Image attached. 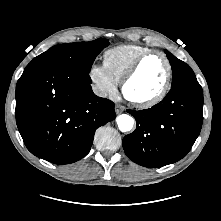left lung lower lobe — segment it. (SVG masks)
Returning a JSON list of instances; mask_svg holds the SVG:
<instances>
[{
	"mask_svg": "<svg viewBox=\"0 0 221 221\" xmlns=\"http://www.w3.org/2000/svg\"><path fill=\"white\" fill-rule=\"evenodd\" d=\"M127 111L137 126L123 138L126 155L141 166L162 167L186 156L197 139L203 122V91L197 79H189L172 86L152 108Z\"/></svg>",
	"mask_w": 221,
	"mask_h": 221,
	"instance_id": "0a47b994",
	"label": "left lung lower lobe"
}]
</instances>
